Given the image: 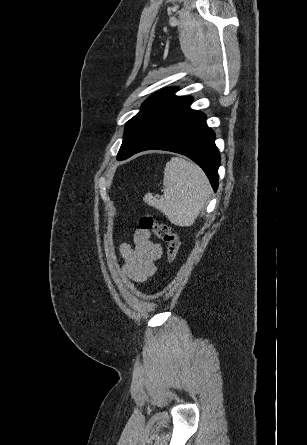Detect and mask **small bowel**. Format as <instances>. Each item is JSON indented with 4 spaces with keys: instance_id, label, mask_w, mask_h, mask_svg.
<instances>
[{
    "instance_id": "obj_1",
    "label": "small bowel",
    "mask_w": 307,
    "mask_h": 445,
    "mask_svg": "<svg viewBox=\"0 0 307 445\" xmlns=\"http://www.w3.org/2000/svg\"><path fill=\"white\" fill-rule=\"evenodd\" d=\"M124 258L123 272L132 281L144 282L156 271V262L162 256V247L151 239L149 231L141 228L134 233L133 243H123L120 247Z\"/></svg>"
}]
</instances>
